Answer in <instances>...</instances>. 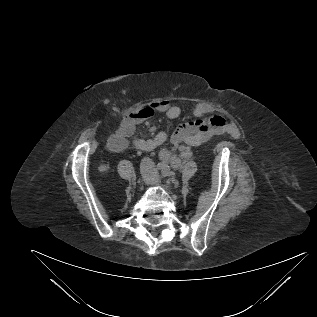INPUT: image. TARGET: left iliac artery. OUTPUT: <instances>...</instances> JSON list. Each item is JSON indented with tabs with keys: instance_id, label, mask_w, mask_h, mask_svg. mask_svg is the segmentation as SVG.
Returning <instances> with one entry per match:
<instances>
[{
	"instance_id": "1",
	"label": "left iliac artery",
	"mask_w": 317,
	"mask_h": 317,
	"mask_svg": "<svg viewBox=\"0 0 317 317\" xmlns=\"http://www.w3.org/2000/svg\"><path fill=\"white\" fill-rule=\"evenodd\" d=\"M168 172H169V168H165L164 171H163V175H164V176H167V175H168Z\"/></svg>"
}]
</instances>
